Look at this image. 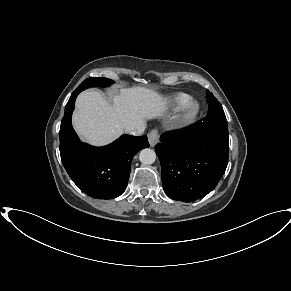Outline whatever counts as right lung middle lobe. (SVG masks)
<instances>
[{
	"label": "right lung middle lobe",
	"mask_w": 291,
	"mask_h": 291,
	"mask_svg": "<svg viewBox=\"0 0 291 291\" xmlns=\"http://www.w3.org/2000/svg\"><path fill=\"white\" fill-rule=\"evenodd\" d=\"M114 81L110 80L108 78H88L86 80H84L78 87V89H80V91L85 90L86 88L90 87V86H99V87H106L109 86L111 84H113Z\"/></svg>",
	"instance_id": "1"
}]
</instances>
